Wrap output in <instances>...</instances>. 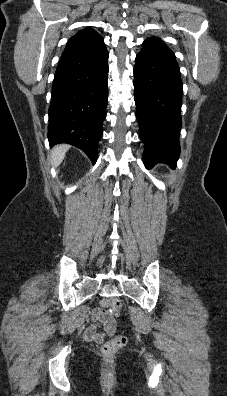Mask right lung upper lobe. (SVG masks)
<instances>
[{"label": "right lung upper lobe", "instance_id": "obj_1", "mask_svg": "<svg viewBox=\"0 0 227 396\" xmlns=\"http://www.w3.org/2000/svg\"><path fill=\"white\" fill-rule=\"evenodd\" d=\"M101 40H103L102 37L94 29L86 28L72 36L67 42L66 48L94 44Z\"/></svg>", "mask_w": 227, "mask_h": 396}]
</instances>
